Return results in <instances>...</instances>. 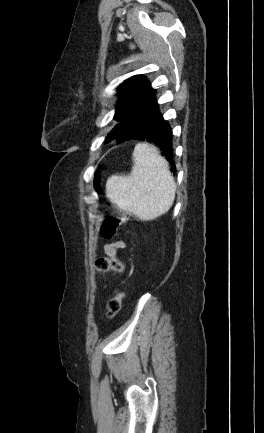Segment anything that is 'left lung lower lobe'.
<instances>
[{"mask_svg":"<svg viewBox=\"0 0 264 433\" xmlns=\"http://www.w3.org/2000/svg\"><path fill=\"white\" fill-rule=\"evenodd\" d=\"M155 92L149 87L130 107L120 123L128 131L127 140H143L158 146L163 155L171 162V171L175 172L172 154V129L159 111ZM121 142L124 141H118V143Z\"/></svg>","mask_w":264,"mask_h":433,"instance_id":"0a47b994","label":"left lung lower lobe"}]
</instances>
